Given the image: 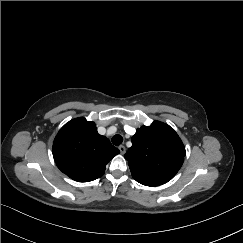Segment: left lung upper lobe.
<instances>
[{"label":"left lung upper lobe","mask_w":243,"mask_h":243,"mask_svg":"<svg viewBox=\"0 0 243 243\" xmlns=\"http://www.w3.org/2000/svg\"><path fill=\"white\" fill-rule=\"evenodd\" d=\"M125 154L133 178L146 186H159L171 180L181 168L185 147L167 124L154 121L133 135Z\"/></svg>","instance_id":"obj_1"}]
</instances>
